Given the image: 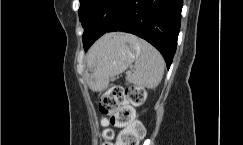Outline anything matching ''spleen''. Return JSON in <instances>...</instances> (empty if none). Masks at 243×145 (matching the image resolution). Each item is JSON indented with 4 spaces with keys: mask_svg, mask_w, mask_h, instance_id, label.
I'll use <instances>...</instances> for the list:
<instances>
[{
    "mask_svg": "<svg viewBox=\"0 0 243 145\" xmlns=\"http://www.w3.org/2000/svg\"><path fill=\"white\" fill-rule=\"evenodd\" d=\"M140 41L141 53L135 61V70L126 79L133 84L154 89L162 80L164 60L161 54L149 43Z\"/></svg>",
    "mask_w": 243,
    "mask_h": 145,
    "instance_id": "spleen-1",
    "label": "spleen"
}]
</instances>
